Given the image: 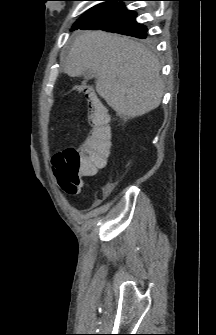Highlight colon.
<instances>
[{
	"mask_svg": "<svg viewBox=\"0 0 216 335\" xmlns=\"http://www.w3.org/2000/svg\"><path fill=\"white\" fill-rule=\"evenodd\" d=\"M76 90L90 101L87 146L92 151H89V159H85L76 147L70 146L53 157L55 175L61 190L68 195L79 192V185H84V178H99V172L108 171L112 149L107 141L111 136V127L105 107L96 99L90 87L80 85Z\"/></svg>",
	"mask_w": 216,
	"mask_h": 335,
	"instance_id": "5ec220e1",
	"label": "colon"
}]
</instances>
